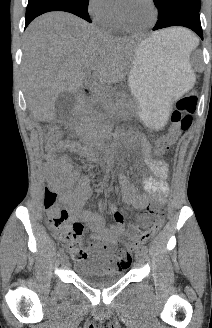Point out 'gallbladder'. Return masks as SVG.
Wrapping results in <instances>:
<instances>
[{"label": "gallbladder", "mask_w": 212, "mask_h": 328, "mask_svg": "<svg viewBox=\"0 0 212 328\" xmlns=\"http://www.w3.org/2000/svg\"><path fill=\"white\" fill-rule=\"evenodd\" d=\"M77 97L69 92L60 93L55 101V120L64 122L69 118L73 108L76 105Z\"/></svg>", "instance_id": "bac80fb5"}]
</instances>
